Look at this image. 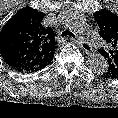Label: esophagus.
I'll return each instance as SVG.
<instances>
[{"mask_svg": "<svg viewBox=\"0 0 118 118\" xmlns=\"http://www.w3.org/2000/svg\"><path fill=\"white\" fill-rule=\"evenodd\" d=\"M77 43L81 47V49L83 51H85L86 53H90L92 51V46L89 43H87L81 39H78Z\"/></svg>", "mask_w": 118, "mask_h": 118, "instance_id": "34e87169", "label": "esophagus"}]
</instances>
